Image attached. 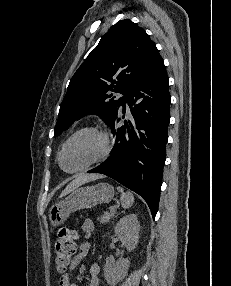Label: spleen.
<instances>
[{
	"instance_id": "obj_1",
	"label": "spleen",
	"mask_w": 231,
	"mask_h": 286,
	"mask_svg": "<svg viewBox=\"0 0 231 286\" xmlns=\"http://www.w3.org/2000/svg\"><path fill=\"white\" fill-rule=\"evenodd\" d=\"M120 192L121 205L124 209L130 208L134 203V195L130 191H124L120 186L117 187Z\"/></svg>"
}]
</instances>
